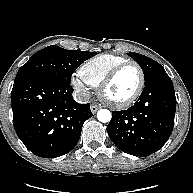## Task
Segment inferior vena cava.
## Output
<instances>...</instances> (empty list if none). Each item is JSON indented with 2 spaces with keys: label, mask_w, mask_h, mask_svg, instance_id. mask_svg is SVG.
I'll return each instance as SVG.
<instances>
[{
  "label": "inferior vena cava",
  "mask_w": 193,
  "mask_h": 193,
  "mask_svg": "<svg viewBox=\"0 0 193 193\" xmlns=\"http://www.w3.org/2000/svg\"><path fill=\"white\" fill-rule=\"evenodd\" d=\"M73 97H74V100L78 103H88L90 99L89 93L85 91H77L74 93Z\"/></svg>",
  "instance_id": "1"
}]
</instances>
